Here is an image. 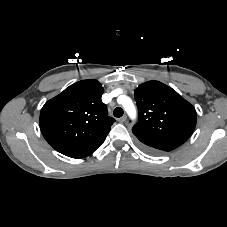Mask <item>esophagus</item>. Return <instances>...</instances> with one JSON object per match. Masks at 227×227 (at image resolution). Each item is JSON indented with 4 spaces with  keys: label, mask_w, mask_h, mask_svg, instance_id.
<instances>
[{
    "label": "esophagus",
    "mask_w": 227,
    "mask_h": 227,
    "mask_svg": "<svg viewBox=\"0 0 227 227\" xmlns=\"http://www.w3.org/2000/svg\"><path fill=\"white\" fill-rule=\"evenodd\" d=\"M127 117L126 115L122 116L121 118L118 119V122L124 123L126 121Z\"/></svg>",
    "instance_id": "34e87169"
}]
</instances>
